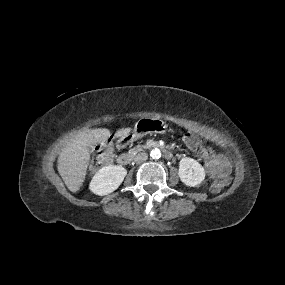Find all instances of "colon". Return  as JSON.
Segmentation results:
<instances>
[{
    "label": "colon",
    "instance_id": "colon-1",
    "mask_svg": "<svg viewBox=\"0 0 285 285\" xmlns=\"http://www.w3.org/2000/svg\"><path fill=\"white\" fill-rule=\"evenodd\" d=\"M183 142L190 149H199L202 146V141L199 138L192 136L191 134H186L183 137ZM111 162V151L108 148L99 150L92 161V167H99L107 165ZM230 181L228 174H223L219 176L212 184L211 190L213 192H219L222 190Z\"/></svg>",
    "mask_w": 285,
    "mask_h": 285
}]
</instances>
